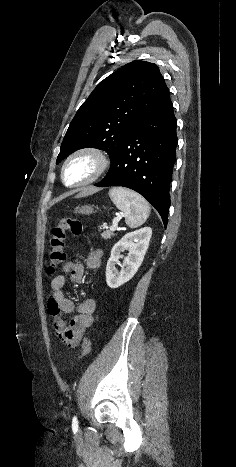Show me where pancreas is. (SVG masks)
<instances>
[{
	"instance_id": "pancreas-1",
	"label": "pancreas",
	"mask_w": 236,
	"mask_h": 467,
	"mask_svg": "<svg viewBox=\"0 0 236 467\" xmlns=\"http://www.w3.org/2000/svg\"><path fill=\"white\" fill-rule=\"evenodd\" d=\"M112 235H113V233L111 231H106V232H103L101 234V236H102V238L104 240L110 239Z\"/></svg>"
}]
</instances>
